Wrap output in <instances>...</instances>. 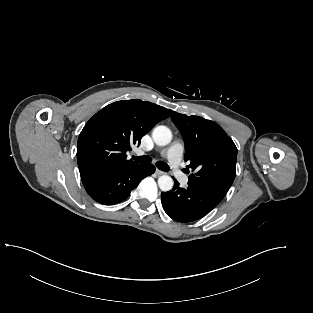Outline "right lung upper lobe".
<instances>
[{"mask_svg": "<svg viewBox=\"0 0 313 313\" xmlns=\"http://www.w3.org/2000/svg\"><path fill=\"white\" fill-rule=\"evenodd\" d=\"M171 110L139 99L111 103L86 123L77 143L81 177L132 168L139 164L127 160L132 145L139 144Z\"/></svg>", "mask_w": 313, "mask_h": 313, "instance_id": "1", "label": "right lung upper lobe"}]
</instances>
